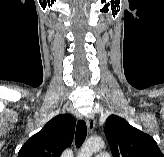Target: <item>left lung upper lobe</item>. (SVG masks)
Segmentation results:
<instances>
[{"label": "left lung upper lobe", "mask_w": 164, "mask_h": 157, "mask_svg": "<svg viewBox=\"0 0 164 157\" xmlns=\"http://www.w3.org/2000/svg\"><path fill=\"white\" fill-rule=\"evenodd\" d=\"M105 134L113 157H164L151 136L119 116L107 118Z\"/></svg>", "instance_id": "obj_1"}]
</instances>
